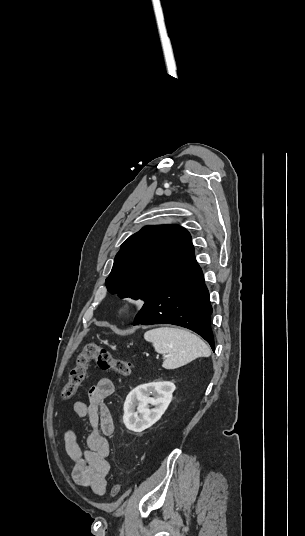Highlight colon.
Masks as SVG:
<instances>
[{"label": "colon", "instance_id": "1", "mask_svg": "<svg viewBox=\"0 0 305 536\" xmlns=\"http://www.w3.org/2000/svg\"><path fill=\"white\" fill-rule=\"evenodd\" d=\"M92 360L96 361L100 368L112 370L122 376H130L134 371L132 363L112 357L106 348L100 344L86 342L81 351L76 354L74 363L69 370V378L62 391L64 399H71L78 387L86 381L88 365ZM119 491L120 485L114 483L111 489L112 497H116Z\"/></svg>", "mask_w": 305, "mask_h": 536}]
</instances>
